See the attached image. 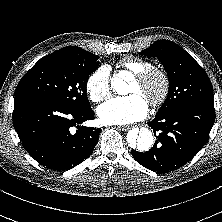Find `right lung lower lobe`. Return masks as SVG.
<instances>
[{
  "instance_id": "98d812e1",
  "label": "right lung lower lobe",
  "mask_w": 222,
  "mask_h": 222,
  "mask_svg": "<svg viewBox=\"0 0 222 222\" xmlns=\"http://www.w3.org/2000/svg\"><path fill=\"white\" fill-rule=\"evenodd\" d=\"M94 115L91 107L72 108L39 96L14 98L13 124L22 146L38 163L56 171L69 170L91 154L100 128L79 124Z\"/></svg>"
}]
</instances>
